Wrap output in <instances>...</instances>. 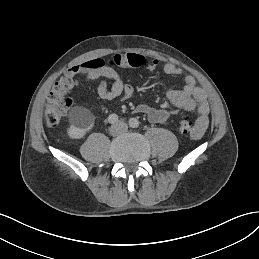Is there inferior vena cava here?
<instances>
[{
  "mask_svg": "<svg viewBox=\"0 0 259 259\" xmlns=\"http://www.w3.org/2000/svg\"><path fill=\"white\" fill-rule=\"evenodd\" d=\"M113 127H116V129H120V132H126L127 131V125L124 122H119L117 125H113Z\"/></svg>",
  "mask_w": 259,
  "mask_h": 259,
  "instance_id": "obj_1",
  "label": "inferior vena cava"
}]
</instances>
